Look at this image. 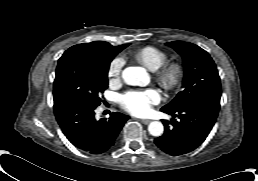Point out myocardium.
<instances>
[{
    "label": "myocardium",
    "mask_w": 258,
    "mask_h": 181,
    "mask_svg": "<svg viewBox=\"0 0 258 181\" xmlns=\"http://www.w3.org/2000/svg\"><path fill=\"white\" fill-rule=\"evenodd\" d=\"M158 83L166 90L176 89L183 81L184 69L176 62L163 64L155 70Z\"/></svg>",
    "instance_id": "f54148a6"
}]
</instances>
